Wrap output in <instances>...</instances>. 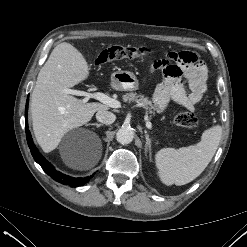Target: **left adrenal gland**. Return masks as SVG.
Masks as SVG:
<instances>
[{
	"mask_svg": "<svg viewBox=\"0 0 247 247\" xmlns=\"http://www.w3.org/2000/svg\"><path fill=\"white\" fill-rule=\"evenodd\" d=\"M145 138H146V148H145V154L149 152V157L151 158V138L149 137V134L147 131H145Z\"/></svg>",
	"mask_w": 247,
	"mask_h": 247,
	"instance_id": "a2214340",
	"label": "left adrenal gland"
}]
</instances>
